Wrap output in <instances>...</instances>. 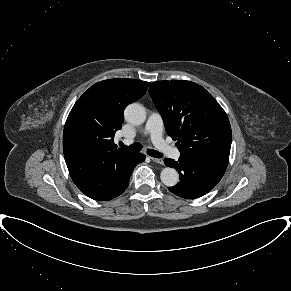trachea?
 <instances>
[{
	"label": "trachea",
	"mask_w": 291,
	"mask_h": 291,
	"mask_svg": "<svg viewBox=\"0 0 291 291\" xmlns=\"http://www.w3.org/2000/svg\"><path fill=\"white\" fill-rule=\"evenodd\" d=\"M119 145L121 147H124V148H126L128 150L135 151V152H139L142 149V146L139 143H133L130 146H125L123 143L120 142ZM147 154L149 156H152V157H155V158H162L163 157V155L160 152H158L156 150H153V149H147Z\"/></svg>",
	"instance_id": "1"
}]
</instances>
